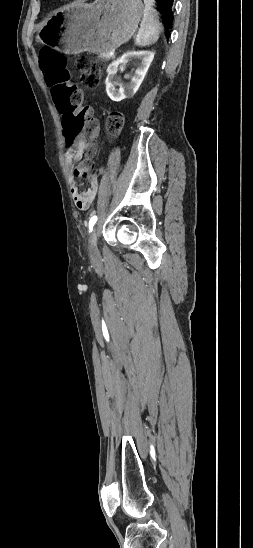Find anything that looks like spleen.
I'll return each instance as SVG.
<instances>
[{
	"label": "spleen",
	"mask_w": 253,
	"mask_h": 548,
	"mask_svg": "<svg viewBox=\"0 0 253 548\" xmlns=\"http://www.w3.org/2000/svg\"><path fill=\"white\" fill-rule=\"evenodd\" d=\"M152 3L153 0H144V15L135 38L136 45L141 47L155 43L162 30L158 19V12L152 7Z\"/></svg>",
	"instance_id": "1"
}]
</instances>
